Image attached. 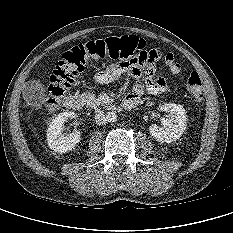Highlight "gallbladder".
Segmentation results:
<instances>
[{
    "mask_svg": "<svg viewBox=\"0 0 233 233\" xmlns=\"http://www.w3.org/2000/svg\"><path fill=\"white\" fill-rule=\"evenodd\" d=\"M28 88H32L31 91L28 89V92H30L32 95H34L38 99H44L45 98V89L44 86L39 83H30L28 84Z\"/></svg>",
    "mask_w": 233,
    "mask_h": 233,
    "instance_id": "1",
    "label": "gallbladder"
}]
</instances>
